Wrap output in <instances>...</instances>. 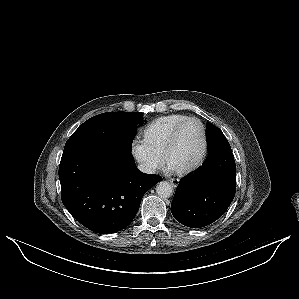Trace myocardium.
<instances>
[{"instance_id":"myocardium-1","label":"myocardium","mask_w":299,"mask_h":299,"mask_svg":"<svg viewBox=\"0 0 299 299\" xmlns=\"http://www.w3.org/2000/svg\"><path fill=\"white\" fill-rule=\"evenodd\" d=\"M191 123H196L199 125L200 130H201V148H200V153L198 158L196 159V161L190 165L187 168L184 169H174L172 168L169 163H168V155L171 151V149L173 148L176 138L179 134V132L186 127L187 125L191 124ZM206 148H207V137H206V130L205 127L203 125V123L197 119V118H189L188 120H186L185 122H183L182 124H180L170 135L165 148L163 150V154H162V161L163 164L165 165V167L170 170L171 172L175 173L178 176H182V175H186L189 174L191 172H193L194 170H196L201 163L204 160L205 154H206Z\"/></svg>"}]
</instances>
